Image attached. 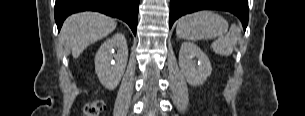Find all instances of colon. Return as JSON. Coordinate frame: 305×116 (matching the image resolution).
I'll list each match as a JSON object with an SVG mask.
<instances>
[{"label": "colon", "instance_id": "1", "mask_svg": "<svg viewBox=\"0 0 305 116\" xmlns=\"http://www.w3.org/2000/svg\"><path fill=\"white\" fill-rule=\"evenodd\" d=\"M105 109V104L102 100L89 102L84 107L85 116H99Z\"/></svg>", "mask_w": 305, "mask_h": 116}]
</instances>
